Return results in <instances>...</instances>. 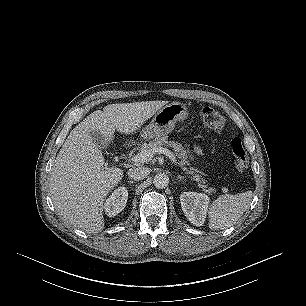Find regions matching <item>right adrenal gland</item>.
<instances>
[{
	"label": "right adrenal gland",
	"mask_w": 306,
	"mask_h": 306,
	"mask_svg": "<svg viewBox=\"0 0 306 306\" xmlns=\"http://www.w3.org/2000/svg\"><path fill=\"white\" fill-rule=\"evenodd\" d=\"M128 183L131 185V184H133L134 182L130 180V181H128Z\"/></svg>",
	"instance_id": "obj_1"
}]
</instances>
